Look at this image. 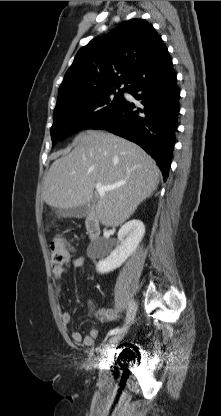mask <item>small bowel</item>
<instances>
[{
  "label": "small bowel",
  "instance_id": "c3829d8e",
  "mask_svg": "<svg viewBox=\"0 0 221 416\" xmlns=\"http://www.w3.org/2000/svg\"><path fill=\"white\" fill-rule=\"evenodd\" d=\"M71 264L75 268H80L84 264L83 256H74L71 259ZM67 269L64 265H54L52 268L53 278L56 282L57 293L61 291V283L64 275L66 274ZM90 314L97 317L102 322H115L119 320L120 315L118 310L114 308H95L93 305H90ZM61 321L63 324H69L71 321V314L67 311L61 313ZM99 337V329L93 327L90 329L87 335H82L79 331H73L71 333V338L75 343H79L84 347H92L95 340Z\"/></svg>",
  "mask_w": 221,
  "mask_h": 416
}]
</instances>
